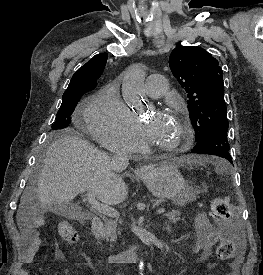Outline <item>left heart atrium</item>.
<instances>
[{
	"mask_svg": "<svg viewBox=\"0 0 263 275\" xmlns=\"http://www.w3.org/2000/svg\"><path fill=\"white\" fill-rule=\"evenodd\" d=\"M163 120L164 116L162 114H157L155 118L148 125L145 126V135L149 140L153 139Z\"/></svg>",
	"mask_w": 263,
	"mask_h": 275,
	"instance_id": "1",
	"label": "left heart atrium"
}]
</instances>
